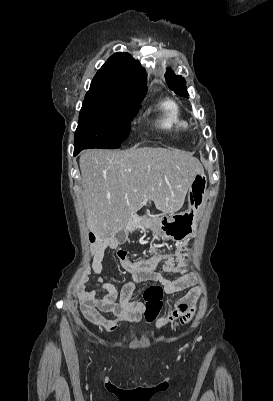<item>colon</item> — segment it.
Wrapping results in <instances>:
<instances>
[{
  "mask_svg": "<svg viewBox=\"0 0 273 401\" xmlns=\"http://www.w3.org/2000/svg\"><path fill=\"white\" fill-rule=\"evenodd\" d=\"M76 295L79 297H95V288H79L76 290ZM146 300L144 305V318L147 324H153L161 315L163 309V289L159 285H150L145 290ZM169 322L171 318H168Z\"/></svg>",
  "mask_w": 273,
  "mask_h": 401,
  "instance_id": "1",
  "label": "colon"
}]
</instances>
